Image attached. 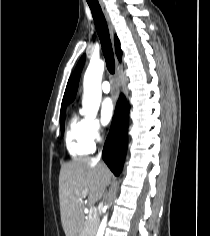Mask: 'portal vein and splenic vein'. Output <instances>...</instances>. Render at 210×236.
Here are the masks:
<instances>
[{"mask_svg":"<svg viewBox=\"0 0 210 236\" xmlns=\"http://www.w3.org/2000/svg\"><path fill=\"white\" fill-rule=\"evenodd\" d=\"M89 214L92 216V215H96L97 214V209L93 206V207H90V210H89Z\"/></svg>","mask_w":210,"mask_h":236,"instance_id":"obj_1","label":"portal vein and splenic vein"}]
</instances>
